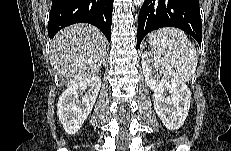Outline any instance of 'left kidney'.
Listing matches in <instances>:
<instances>
[{
  "label": "left kidney",
  "mask_w": 231,
  "mask_h": 151,
  "mask_svg": "<svg viewBox=\"0 0 231 151\" xmlns=\"http://www.w3.org/2000/svg\"><path fill=\"white\" fill-rule=\"evenodd\" d=\"M141 63L145 82L154 91L156 114L167 129H179L189 112L190 89L167 63L150 52L142 53Z\"/></svg>",
  "instance_id": "5707ae66"
}]
</instances>
